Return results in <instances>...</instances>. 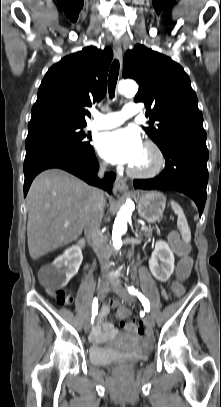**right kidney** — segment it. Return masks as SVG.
I'll list each match as a JSON object with an SVG mask.
<instances>
[{"instance_id": "ca27d5eb", "label": "right kidney", "mask_w": 221, "mask_h": 407, "mask_svg": "<svg viewBox=\"0 0 221 407\" xmlns=\"http://www.w3.org/2000/svg\"><path fill=\"white\" fill-rule=\"evenodd\" d=\"M83 256L80 247L71 246L57 257L52 265L54 268L52 280L58 287H65L70 279L75 276L82 263Z\"/></svg>"}]
</instances>
